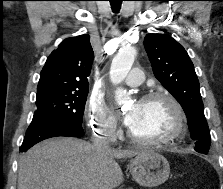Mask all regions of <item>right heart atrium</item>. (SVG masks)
<instances>
[{"instance_id": "right-heart-atrium-1", "label": "right heart atrium", "mask_w": 223, "mask_h": 189, "mask_svg": "<svg viewBox=\"0 0 223 189\" xmlns=\"http://www.w3.org/2000/svg\"><path fill=\"white\" fill-rule=\"evenodd\" d=\"M85 116L92 133L112 139L117 131V119L110 107L99 98H91L85 107Z\"/></svg>"}]
</instances>
